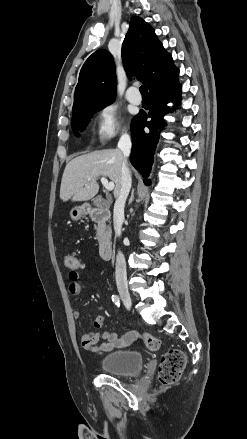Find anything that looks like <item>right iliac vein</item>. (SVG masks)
Masks as SVG:
<instances>
[{
    "instance_id": "right-iliac-vein-1",
    "label": "right iliac vein",
    "mask_w": 247,
    "mask_h": 439,
    "mask_svg": "<svg viewBox=\"0 0 247 439\" xmlns=\"http://www.w3.org/2000/svg\"><path fill=\"white\" fill-rule=\"evenodd\" d=\"M119 294H120V297H121L125 307L128 310H130L131 306H132V300H131V296H130V293H129L128 289L126 287H120L119 288Z\"/></svg>"
}]
</instances>
